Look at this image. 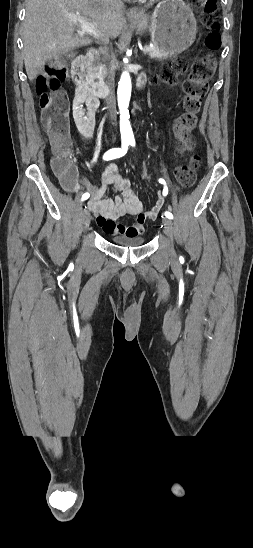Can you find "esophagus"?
<instances>
[{
	"label": "esophagus",
	"mask_w": 253,
	"mask_h": 548,
	"mask_svg": "<svg viewBox=\"0 0 253 548\" xmlns=\"http://www.w3.org/2000/svg\"><path fill=\"white\" fill-rule=\"evenodd\" d=\"M128 15L132 18H136L139 16V11L137 8H131L128 12Z\"/></svg>",
	"instance_id": "1"
}]
</instances>
